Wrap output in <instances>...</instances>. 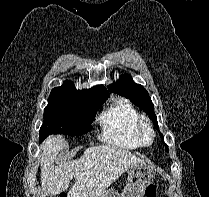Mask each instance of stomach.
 <instances>
[{"label":"stomach","mask_w":209,"mask_h":197,"mask_svg":"<svg viewBox=\"0 0 209 197\" xmlns=\"http://www.w3.org/2000/svg\"><path fill=\"white\" fill-rule=\"evenodd\" d=\"M155 178L153 168L145 162L132 166L128 170V182L121 194L107 189L98 197H143L145 189Z\"/></svg>","instance_id":"obj_1"}]
</instances>
